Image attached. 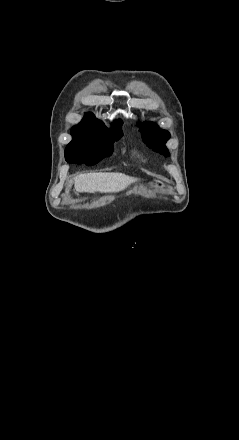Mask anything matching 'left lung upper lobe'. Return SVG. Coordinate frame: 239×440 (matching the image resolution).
<instances>
[{"label": "left lung upper lobe", "mask_w": 239, "mask_h": 440, "mask_svg": "<svg viewBox=\"0 0 239 440\" xmlns=\"http://www.w3.org/2000/svg\"><path fill=\"white\" fill-rule=\"evenodd\" d=\"M139 131L142 134L143 140L148 144L149 147L156 152L169 156L168 150L164 145L170 138L168 131L160 129L153 123L142 124Z\"/></svg>", "instance_id": "obj_1"}]
</instances>
